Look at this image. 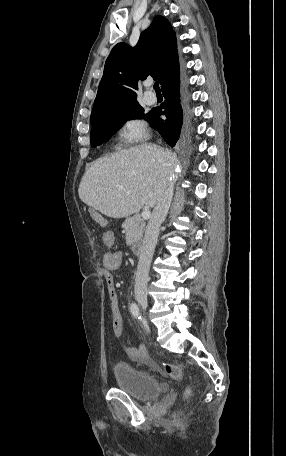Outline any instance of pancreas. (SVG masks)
Wrapping results in <instances>:
<instances>
[{
  "label": "pancreas",
  "mask_w": 286,
  "mask_h": 456,
  "mask_svg": "<svg viewBox=\"0 0 286 456\" xmlns=\"http://www.w3.org/2000/svg\"><path fill=\"white\" fill-rule=\"evenodd\" d=\"M145 222L139 215L127 218L122 224L126 233V244L135 245L142 240Z\"/></svg>",
  "instance_id": "pancreas-1"
}]
</instances>
